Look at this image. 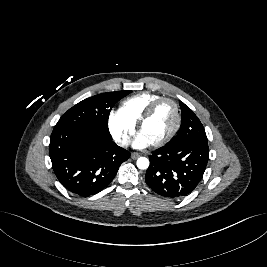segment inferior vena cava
Listing matches in <instances>:
<instances>
[{
	"instance_id": "602c4592",
	"label": "inferior vena cava",
	"mask_w": 267,
	"mask_h": 267,
	"mask_svg": "<svg viewBox=\"0 0 267 267\" xmlns=\"http://www.w3.org/2000/svg\"><path fill=\"white\" fill-rule=\"evenodd\" d=\"M118 144H119L120 146H127V143L124 142V141H119Z\"/></svg>"
}]
</instances>
